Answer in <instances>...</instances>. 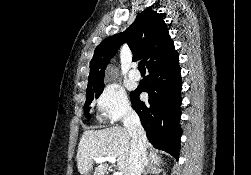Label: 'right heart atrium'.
<instances>
[{"instance_id":"right-heart-atrium-1","label":"right heart atrium","mask_w":251,"mask_h":175,"mask_svg":"<svg viewBox=\"0 0 251 175\" xmlns=\"http://www.w3.org/2000/svg\"><path fill=\"white\" fill-rule=\"evenodd\" d=\"M94 106L100 122H116L130 112L125 90L110 77H106Z\"/></svg>"}]
</instances>
